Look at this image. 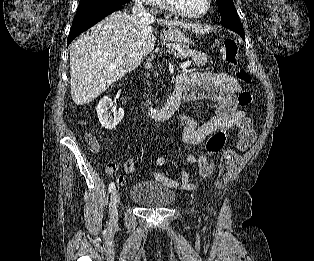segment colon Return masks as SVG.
<instances>
[{"mask_svg": "<svg viewBox=\"0 0 314 261\" xmlns=\"http://www.w3.org/2000/svg\"><path fill=\"white\" fill-rule=\"evenodd\" d=\"M239 46L236 40L228 38L224 41L221 48V56L224 61L231 67L235 68V74L237 79L245 84L251 83V76L247 70L239 66L238 58ZM253 102V94L250 90L242 91L238 96V103L242 107H248ZM230 127H224L214 132L206 141L205 155H213L220 152L227 140ZM88 139L97 144L98 139L93 135H88Z\"/></svg>", "mask_w": 314, "mask_h": 261, "instance_id": "obj_1", "label": "colon"}]
</instances>
